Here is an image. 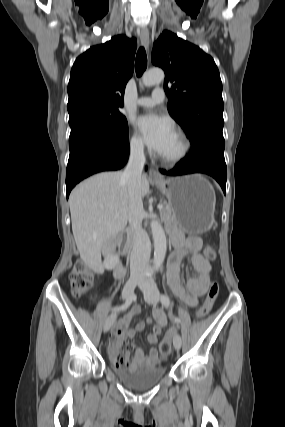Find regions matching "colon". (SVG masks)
Returning <instances> with one entry per match:
<instances>
[{"instance_id": "1", "label": "colon", "mask_w": 285, "mask_h": 427, "mask_svg": "<svg viewBox=\"0 0 285 427\" xmlns=\"http://www.w3.org/2000/svg\"><path fill=\"white\" fill-rule=\"evenodd\" d=\"M204 255L209 260L217 258L216 248L213 245H207L204 249ZM94 273L86 266L83 261H76L70 273V286L74 296H81L87 293L93 286ZM219 295V285L213 282L210 286L207 298L203 305L196 312L198 318H202L211 310L214 302ZM173 332H169L159 345V351L162 358L168 356L172 350ZM128 348L122 345L117 349L115 359L118 363H124Z\"/></svg>"}]
</instances>
